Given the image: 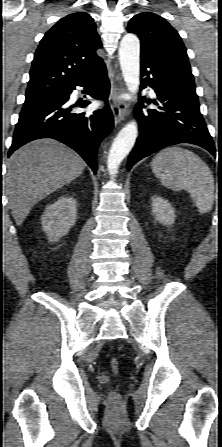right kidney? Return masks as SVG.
<instances>
[{"label": "right kidney", "mask_w": 222, "mask_h": 447, "mask_svg": "<svg viewBox=\"0 0 222 447\" xmlns=\"http://www.w3.org/2000/svg\"><path fill=\"white\" fill-rule=\"evenodd\" d=\"M76 200L70 196H62L46 207L41 217L43 231L49 241H57L65 236L76 222Z\"/></svg>", "instance_id": "ca27d5eb"}]
</instances>
